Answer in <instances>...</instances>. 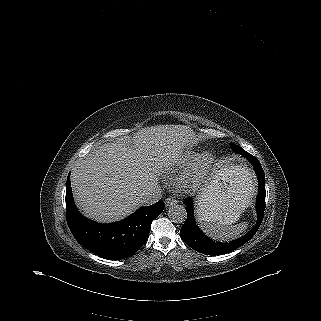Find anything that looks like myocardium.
Listing matches in <instances>:
<instances>
[{
  "instance_id": "1",
  "label": "myocardium",
  "mask_w": 321,
  "mask_h": 321,
  "mask_svg": "<svg viewBox=\"0 0 321 321\" xmlns=\"http://www.w3.org/2000/svg\"><path fill=\"white\" fill-rule=\"evenodd\" d=\"M211 162L212 157L210 154L204 153L199 156L192 169L176 180L177 187L182 190H190L196 187L202 181V178L208 171Z\"/></svg>"
}]
</instances>
